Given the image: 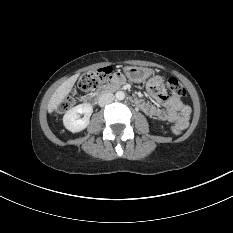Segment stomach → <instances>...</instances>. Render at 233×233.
<instances>
[{
    "instance_id": "obj_1",
    "label": "stomach",
    "mask_w": 233,
    "mask_h": 233,
    "mask_svg": "<svg viewBox=\"0 0 233 233\" xmlns=\"http://www.w3.org/2000/svg\"><path fill=\"white\" fill-rule=\"evenodd\" d=\"M124 73L130 81L139 83L153 75L154 71L145 67L126 66L124 68Z\"/></svg>"
}]
</instances>
